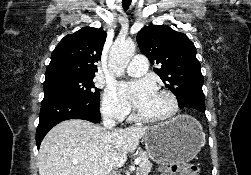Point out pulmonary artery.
<instances>
[{"label":"pulmonary artery","instance_id":"pulmonary-artery-1","mask_svg":"<svg viewBox=\"0 0 251 175\" xmlns=\"http://www.w3.org/2000/svg\"><path fill=\"white\" fill-rule=\"evenodd\" d=\"M134 62H130L127 66L126 72L132 76H146V70L148 67L147 58L144 55H134Z\"/></svg>","mask_w":251,"mask_h":175}]
</instances>
